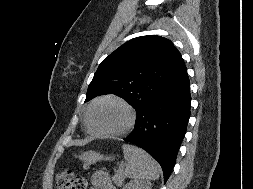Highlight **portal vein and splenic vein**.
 Returning a JSON list of instances; mask_svg holds the SVG:
<instances>
[{
    "label": "portal vein and splenic vein",
    "mask_w": 253,
    "mask_h": 189,
    "mask_svg": "<svg viewBox=\"0 0 253 189\" xmlns=\"http://www.w3.org/2000/svg\"><path fill=\"white\" fill-rule=\"evenodd\" d=\"M122 168H123V163H122V164H120V166H119V171H121V170H122Z\"/></svg>",
    "instance_id": "1"
}]
</instances>
